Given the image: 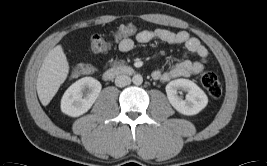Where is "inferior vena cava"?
<instances>
[{
  "label": "inferior vena cava",
  "instance_id": "inferior-vena-cava-1",
  "mask_svg": "<svg viewBox=\"0 0 267 166\" xmlns=\"http://www.w3.org/2000/svg\"><path fill=\"white\" fill-rule=\"evenodd\" d=\"M131 83V78L127 75H119L115 79V85L118 87H124Z\"/></svg>",
  "mask_w": 267,
  "mask_h": 166
}]
</instances>
